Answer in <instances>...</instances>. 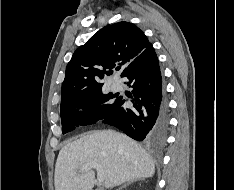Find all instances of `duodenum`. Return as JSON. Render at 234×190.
<instances>
[{"label":"duodenum","mask_w":234,"mask_h":190,"mask_svg":"<svg viewBox=\"0 0 234 190\" xmlns=\"http://www.w3.org/2000/svg\"><path fill=\"white\" fill-rule=\"evenodd\" d=\"M93 190H102V189H93Z\"/></svg>","instance_id":"410a0bca"}]
</instances>
